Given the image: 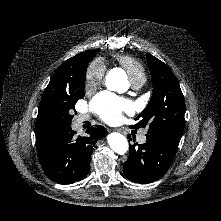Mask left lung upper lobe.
<instances>
[{
    "label": "left lung upper lobe",
    "instance_id": "obj_1",
    "mask_svg": "<svg viewBox=\"0 0 221 221\" xmlns=\"http://www.w3.org/2000/svg\"><path fill=\"white\" fill-rule=\"evenodd\" d=\"M151 70L153 94L132 128L148 126V134L168 132L182 135L185 102L179 82L171 69L156 57L146 54Z\"/></svg>",
    "mask_w": 221,
    "mask_h": 221
}]
</instances>
